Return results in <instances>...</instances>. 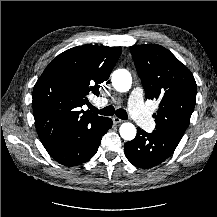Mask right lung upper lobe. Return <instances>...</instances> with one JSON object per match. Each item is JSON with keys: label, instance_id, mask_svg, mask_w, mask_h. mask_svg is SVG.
Instances as JSON below:
<instances>
[{"label": "right lung upper lobe", "instance_id": "cb5924a9", "mask_svg": "<svg viewBox=\"0 0 217 217\" xmlns=\"http://www.w3.org/2000/svg\"><path fill=\"white\" fill-rule=\"evenodd\" d=\"M122 52L121 47L83 45L58 55L33 89V113L44 147L73 139L103 119L83 111L88 95H99Z\"/></svg>", "mask_w": 217, "mask_h": 217}]
</instances>
